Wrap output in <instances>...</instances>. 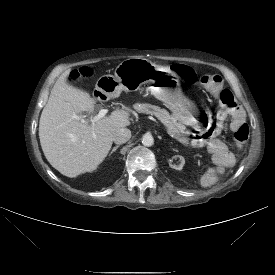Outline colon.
Returning a JSON list of instances; mask_svg holds the SVG:
<instances>
[{
	"instance_id": "colon-1",
	"label": "colon",
	"mask_w": 275,
	"mask_h": 275,
	"mask_svg": "<svg viewBox=\"0 0 275 275\" xmlns=\"http://www.w3.org/2000/svg\"><path fill=\"white\" fill-rule=\"evenodd\" d=\"M173 69L178 73V75L188 84L200 83L202 85H210L217 81L218 76L216 75H201L197 74L189 67L184 65H174ZM91 76V70L87 67H83L79 70H75L70 75L71 82H77L83 79H87ZM236 105L233 94L229 89H223L220 92V112L215 118L214 125L219 126L224 123L227 114ZM249 138V128L248 126H242L234 134V141L237 148H243L247 143Z\"/></svg>"
}]
</instances>
